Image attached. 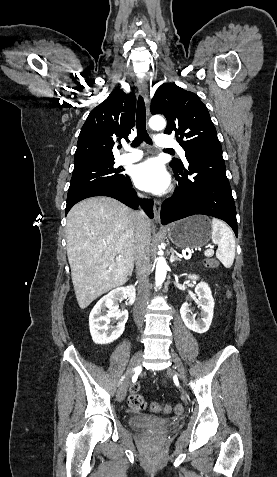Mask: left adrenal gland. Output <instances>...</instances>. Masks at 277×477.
I'll list each match as a JSON object with an SVG mask.
<instances>
[{"mask_svg": "<svg viewBox=\"0 0 277 477\" xmlns=\"http://www.w3.org/2000/svg\"><path fill=\"white\" fill-rule=\"evenodd\" d=\"M175 261H179V262H180L181 259H179L177 256H175L174 251L171 250L170 262L173 263V262H175Z\"/></svg>", "mask_w": 277, "mask_h": 477, "instance_id": "left-adrenal-gland-1", "label": "left adrenal gland"}]
</instances>
